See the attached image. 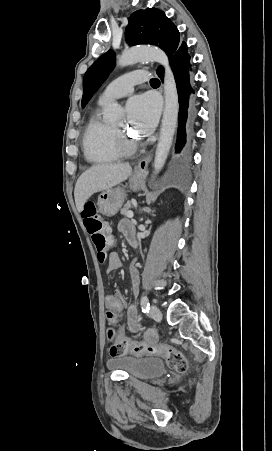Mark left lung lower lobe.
Wrapping results in <instances>:
<instances>
[{
    "label": "left lung lower lobe",
    "mask_w": 272,
    "mask_h": 451,
    "mask_svg": "<svg viewBox=\"0 0 272 451\" xmlns=\"http://www.w3.org/2000/svg\"><path fill=\"white\" fill-rule=\"evenodd\" d=\"M170 65L175 77L178 98L179 117L176 143V162L186 163L191 156V143L194 138L195 109L189 104L190 95L194 90L190 86V55L187 45L182 41L170 59ZM158 76L163 80V68L157 70Z\"/></svg>",
    "instance_id": "1"
}]
</instances>
